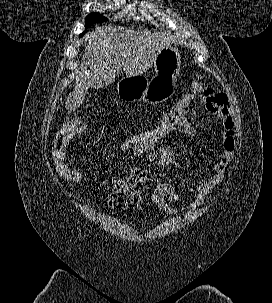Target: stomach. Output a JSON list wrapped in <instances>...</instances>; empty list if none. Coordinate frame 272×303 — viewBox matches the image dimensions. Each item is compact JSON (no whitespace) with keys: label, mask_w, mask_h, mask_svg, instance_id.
I'll return each instance as SVG.
<instances>
[{"label":"stomach","mask_w":272,"mask_h":303,"mask_svg":"<svg viewBox=\"0 0 272 303\" xmlns=\"http://www.w3.org/2000/svg\"><path fill=\"white\" fill-rule=\"evenodd\" d=\"M180 64L179 50L171 45L165 46L154 62L155 76L151 80L145 76L126 77L118 82L117 92L127 101L157 103L176 88Z\"/></svg>","instance_id":"obj_1"}]
</instances>
